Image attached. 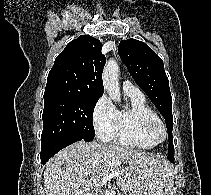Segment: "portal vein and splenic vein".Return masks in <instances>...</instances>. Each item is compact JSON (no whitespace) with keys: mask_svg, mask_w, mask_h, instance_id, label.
I'll return each instance as SVG.
<instances>
[{"mask_svg":"<svg viewBox=\"0 0 211 195\" xmlns=\"http://www.w3.org/2000/svg\"><path fill=\"white\" fill-rule=\"evenodd\" d=\"M119 173L118 172H113L111 173L109 176H107L106 178L103 179L102 183L104 184L105 182H107L108 180H110L112 177H118ZM105 195H113V193L111 191H104Z\"/></svg>","mask_w":211,"mask_h":195,"instance_id":"portal-vein-and-splenic-vein-1","label":"portal vein and splenic vein"}]
</instances>
